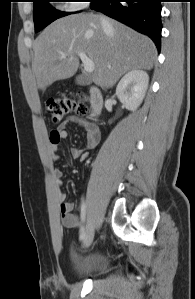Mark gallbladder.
<instances>
[{
    "mask_svg": "<svg viewBox=\"0 0 195 299\" xmlns=\"http://www.w3.org/2000/svg\"><path fill=\"white\" fill-rule=\"evenodd\" d=\"M76 83L79 85H88L90 84V78L86 77L85 75H78L76 77Z\"/></svg>",
    "mask_w": 195,
    "mask_h": 299,
    "instance_id": "obj_1",
    "label": "gallbladder"
}]
</instances>
